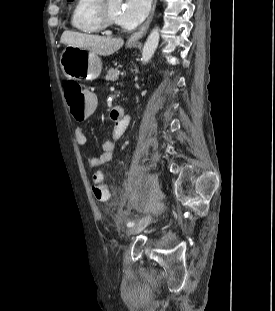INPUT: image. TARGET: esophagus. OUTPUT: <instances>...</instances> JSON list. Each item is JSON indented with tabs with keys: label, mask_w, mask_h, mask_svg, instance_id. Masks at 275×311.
<instances>
[{
	"label": "esophagus",
	"mask_w": 275,
	"mask_h": 311,
	"mask_svg": "<svg viewBox=\"0 0 275 311\" xmlns=\"http://www.w3.org/2000/svg\"><path fill=\"white\" fill-rule=\"evenodd\" d=\"M157 0H153L152 8L149 17L147 18L146 22L136 31L133 33L127 40L128 44L137 43L147 32L149 25L153 19L155 8H156Z\"/></svg>",
	"instance_id": "obj_1"
}]
</instances>
